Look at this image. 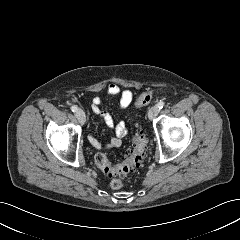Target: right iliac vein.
Segmentation results:
<instances>
[{"instance_id":"1","label":"right iliac vein","mask_w":240,"mask_h":240,"mask_svg":"<svg viewBox=\"0 0 240 240\" xmlns=\"http://www.w3.org/2000/svg\"><path fill=\"white\" fill-rule=\"evenodd\" d=\"M76 118L81 124H84L86 122V115L82 110H78L76 112Z\"/></svg>"}]
</instances>
